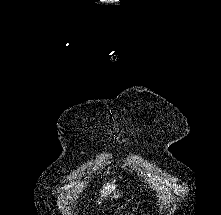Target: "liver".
Here are the masks:
<instances>
[{"mask_svg": "<svg viewBox=\"0 0 221 215\" xmlns=\"http://www.w3.org/2000/svg\"><path fill=\"white\" fill-rule=\"evenodd\" d=\"M116 185L114 183L109 184L107 183L106 186L103 187V189L100 191L101 197H106L110 195L112 192L116 190Z\"/></svg>", "mask_w": 221, "mask_h": 215, "instance_id": "obj_1", "label": "liver"}]
</instances>
